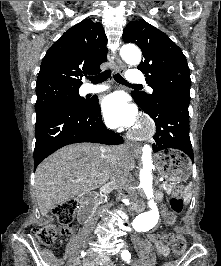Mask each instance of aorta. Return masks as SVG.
I'll list each match as a JSON object with an SVG mask.
<instances>
[{
	"label": "aorta",
	"mask_w": 221,
	"mask_h": 266,
	"mask_svg": "<svg viewBox=\"0 0 221 266\" xmlns=\"http://www.w3.org/2000/svg\"><path fill=\"white\" fill-rule=\"evenodd\" d=\"M122 59L129 65L137 66L141 61L140 50L133 45H124L120 50ZM152 148L148 144H144L142 147V163L143 168L140 171V188L143 189L147 199L148 205L151 211L139 214L133 221L132 227L135 231L141 232L152 228L158 220L159 213L156 203L153 200L154 192L152 188L153 175L151 170L153 169Z\"/></svg>",
	"instance_id": "aorta-1"
}]
</instances>
